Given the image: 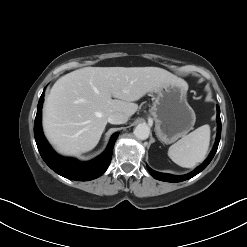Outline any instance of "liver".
Listing matches in <instances>:
<instances>
[{
  "mask_svg": "<svg viewBox=\"0 0 247 247\" xmlns=\"http://www.w3.org/2000/svg\"><path fill=\"white\" fill-rule=\"evenodd\" d=\"M178 81L186 83L158 67H85L70 72L47 96L45 135L62 154L88 152L98 144L111 113L130 117L138 109L135 101Z\"/></svg>",
  "mask_w": 247,
  "mask_h": 247,
  "instance_id": "liver-1",
  "label": "liver"
}]
</instances>
